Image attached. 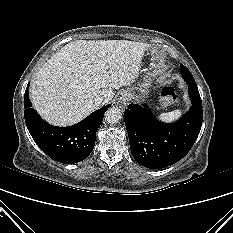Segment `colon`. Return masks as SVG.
<instances>
[{
	"mask_svg": "<svg viewBox=\"0 0 233 233\" xmlns=\"http://www.w3.org/2000/svg\"><path fill=\"white\" fill-rule=\"evenodd\" d=\"M161 96H162V102L164 104L174 103L178 99V96H177L175 90L169 86L163 88V90L161 92Z\"/></svg>",
	"mask_w": 233,
	"mask_h": 233,
	"instance_id": "5ec220e1",
	"label": "colon"
}]
</instances>
